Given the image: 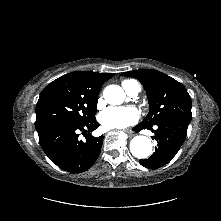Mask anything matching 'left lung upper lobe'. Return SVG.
<instances>
[{"mask_svg": "<svg viewBox=\"0 0 221 221\" xmlns=\"http://www.w3.org/2000/svg\"><path fill=\"white\" fill-rule=\"evenodd\" d=\"M121 76L138 79L146 90L150 111L141 125L153 127L168 121L190 123L191 97L181 83L153 69L133 70Z\"/></svg>", "mask_w": 221, "mask_h": 221, "instance_id": "obj_1", "label": "left lung upper lobe"}]
</instances>
